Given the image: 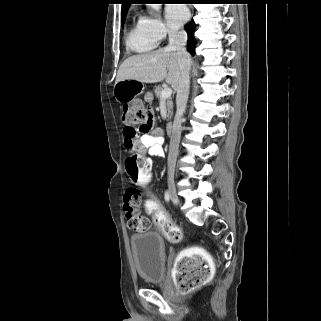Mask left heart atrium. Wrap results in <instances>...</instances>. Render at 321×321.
I'll return each mask as SVG.
<instances>
[{"label":"left heart atrium","mask_w":321,"mask_h":321,"mask_svg":"<svg viewBox=\"0 0 321 321\" xmlns=\"http://www.w3.org/2000/svg\"><path fill=\"white\" fill-rule=\"evenodd\" d=\"M165 16L171 28L177 29L188 18V10L182 4H169L165 9Z\"/></svg>","instance_id":"39dd6f15"}]
</instances>
